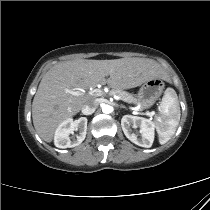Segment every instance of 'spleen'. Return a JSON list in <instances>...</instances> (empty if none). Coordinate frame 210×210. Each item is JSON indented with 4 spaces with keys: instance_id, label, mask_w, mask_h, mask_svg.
I'll list each match as a JSON object with an SVG mask.
<instances>
[{
    "instance_id": "spleen-1",
    "label": "spleen",
    "mask_w": 210,
    "mask_h": 210,
    "mask_svg": "<svg viewBox=\"0 0 210 210\" xmlns=\"http://www.w3.org/2000/svg\"><path fill=\"white\" fill-rule=\"evenodd\" d=\"M161 114L155 119L160 144H165L175 134L180 120V107L174 89L167 88L162 98Z\"/></svg>"
}]
</instances>
